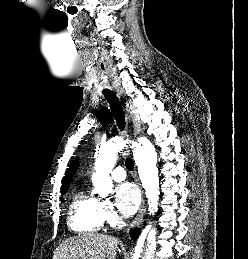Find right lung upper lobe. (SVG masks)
<instances>
[{"label":"right lung upper lobe","mask_w":248,"mask_h":259,"mask_svg":"<svg viewBox=\"0 0 248 259\" xmlns=\"http://www.w3.org/2000/svg\"><path fill=\"white\" fill-rule=\"evenodd\" d=\"M78 167V161H75L73 164L70 165L69 169L67 170L63 180H62V187L61 190H68L70 182L72 180L73 175L75 174Z\"/></svg>","instance_id":"cb5924a9"}]
</instances>
